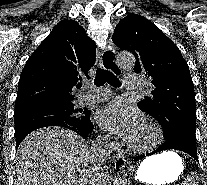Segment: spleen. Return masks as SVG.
<instances>
[{"instance_id": "obj_1", "label": "spleen", "mask_w": 207, "mask_h": 185, "mask_svg": "<svg viewBox=\"0 0 207 185\" xmlns=\"http://www.w3.org/2000/svg\"><path fill=\"white\" fill-rule=\"evenodd\" d=\"M199 183L198 174H189V178L184 179V185H197Z\"/></svg>"}]
</instances>
